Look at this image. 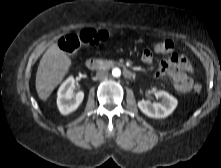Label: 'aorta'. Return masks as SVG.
<instances>
[{
    "label": "aorta",
    "mask_w": 221,
    "mask_h": 168,
    "mask_svg": "<svg viewBox=\"0 0 221 168\" xmlns=\"http://www.w3.org/2000/svg\"><path fill=\"white\" fill-rule=\"evenodd\" d=\"M112 75L114 76V77H120V75H121V70L119 69V68H113V70H112Z\"/></svg>",
    "instance_id": "obj_1"
}]
</instances>
